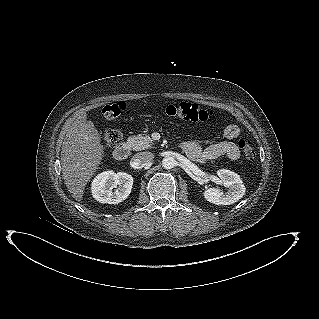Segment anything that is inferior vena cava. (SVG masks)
<instances>
[{
    "mask_svg": "<svg viewBox=\"0 0 319 319\" xmlns=\"http://www.w3.org/2000/svg\"><path fill=\"white\" fill-rule=\"evenodd\" d=\"M153 158L154 154L149 151L140 152L133 156L132 164L135 168H139L150 163L153 160Z\"/></svg>",
    "mask_w": 319,
    "mask_h": 319,
    "instance_id": "obj_1",
    "label": "inferior vena cava"
}]
</instances>
